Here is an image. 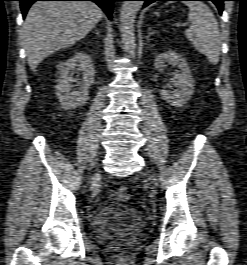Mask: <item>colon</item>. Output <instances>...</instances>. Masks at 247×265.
I'll list each match as a JSON object with an SVG mask.
<instances>
[{"label": "colon", "mask_w": 247, "mask_h": 265, "mask_svg": "<svg viewBox=\"0 0 247 265\" xmlns=\"http://www.w3.org/2000/svg\"><path fill=\"white\" fill-rule=\"evenodd\" d=\"M118 194L122 197V198H125L128 196L129 194V190L128 188L125 186V185H121L119 186L118 188Z\"/></svg>", "instance_id": "1"}]
</instances>
